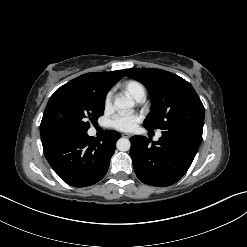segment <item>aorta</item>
Wrapping results in <instances>:
<instances>
[{"mask_svg":"<svg viewBox=\"0 0 247 247\" xmlns=\"http://www.w3.org/2000/svg\"><path fill=\"white\" fill-rule=\"evenodd\" d=\"M114 106L118 110H128L134 106V102L126 97H116ZM119 151H128L131 147L130 140L127 138H120L116 143Z\"/></svg>","mask_w":247,"mask_h":247,"instance_id":"762f6f07","label":"aorta"}]
</instances>
